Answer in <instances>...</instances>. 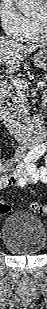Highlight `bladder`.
I'll list each match as a JSON object with an SVG mask.
<instances>
[{
	"label": "bladder",
	"instance_id": "obj_1",
	"mask_svg": "<svg viewBox=\"0 0 47 309\" xmlns=\"http://www.w3.org/2000/svg\"><path fill=\"white\" fill-rule=\"evenodd\" d=\"M2 243L13 254L36 255L45 248L46 230L35 215L18 211L4 220Z\"/></svg>",
	"mask_w": 47,
	"mask_h": 309
}]
</instances>
